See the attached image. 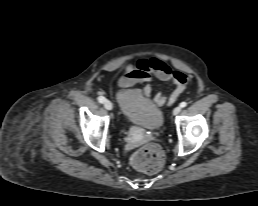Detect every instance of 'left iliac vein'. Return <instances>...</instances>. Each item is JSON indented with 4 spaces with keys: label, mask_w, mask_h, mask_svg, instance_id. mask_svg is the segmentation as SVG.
Here are the masks:
<instances>
[{
    "label": "left iliac vein",
    "mask_w": 258,
    "mask_h": 206,
    "mask_svg": "<svg viewBox=\"0 0 258 206\" xmlns=\"http://www.w3.org/2000/svg\"><path fill=\"white\" fill-rule=\"evenodd\" d=\"M180 111H181V107L180 106H177L176 108H174V110H173V115H177V114H179L180 113Z\"/></svg>",
    "instance_id": "4c4485c4"
}]
</instances>
